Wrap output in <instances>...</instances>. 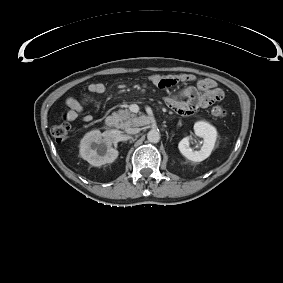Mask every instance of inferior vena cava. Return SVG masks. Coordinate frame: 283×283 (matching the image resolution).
Segmentation results:
<instances>
[{
	"instance_id": "obj_1",
	"label": "inferior vena cava",
	"mask_w": 283,
	"mask_h": 283,
	"mask_svg": "<svg viewBox=\"0 0 283 283\" xmlns=\"http://www.w3.org/2000/svg\"><path fill=\"white\" fill-rule=\"evenodd\" d=\"M125 131H126V133H128V134H137V133L140 131V129H139V128L127 127V128L125 129Z\"/></svg>"
}]
</instances>
